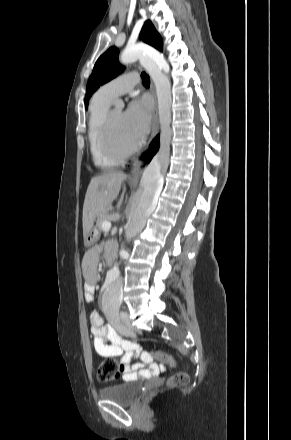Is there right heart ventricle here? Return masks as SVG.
Masks as SVG:
<instances>
[{
	"mask_svg": "<svg viewBox=\"0 0 291 440\" xmlns=\"http://www.w3.org/2000/svg\"><path fill=\"white\" fill-rule=\"evenodd\" d=\"M109 99L102 97L97 91L89 107L88 122V141L93 163L101 168H111L118 165L116 161L109 157L104 149L101 129L104 119L109 112Z\"/></svg>",
	"mask_w": 291,
	"mask_h": 440,
	"instance_id": "1",
	"label": "right heart ventricle"
}]
</instances>
